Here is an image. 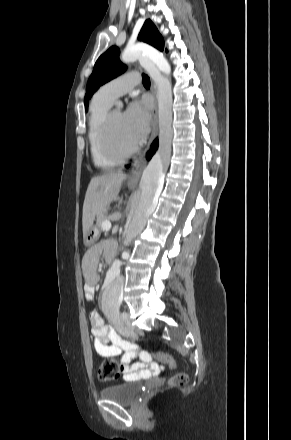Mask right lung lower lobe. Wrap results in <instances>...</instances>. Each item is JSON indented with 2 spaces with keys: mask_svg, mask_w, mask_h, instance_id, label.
I'll use <instances>...</instances> for the list:
<instances>
[{
  "mask_svg": "<svg viewBox=\"0 0 291 440\" xmlns=\"http://www.w3.org/2000/svg\"><path fill=\"white\" fill-rule=\"evenodd\" d=\"M158 147V139H156L152 145L151 151L147 154V158L150 159L152 155L155 153L156 149Z\"/></svg>",
  "mask_w": 291,
  "mask_h": 440,
  "instance_id": "98d812e1",
  "label": "right lung lower lobe"
}]
</instances>
